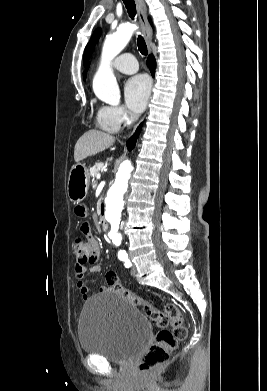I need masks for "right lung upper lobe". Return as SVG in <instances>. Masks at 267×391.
Segmentation results:
<instances>
[{"label":"right lung upper lobe","instance_id":"obj_1","mask_svg":"<svg viewBox=\"0 0 267 391\" xmlns=\"http://www.w3.org/2000/svg\"><path fill=\"white\" fill-rule=\"evenodd\" d=\"M87 71V70H86ZM86 71L83 73L84 79L86 78Z\"/></svg>","mask_w":267,"mask_h":391}]
</instances>
